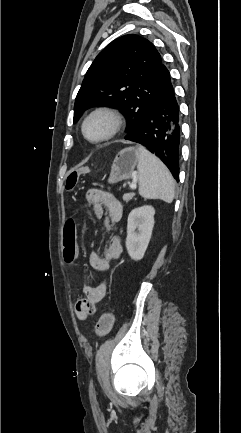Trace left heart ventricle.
Wrapping results in <instances>:
<instances>
[{
  "label": "left heart ventricle",
  "mask_w": 241,
  "mask_h": 433,
  "mask_svg": "<svg viewBox=\"0 0 241 433\" xmlns=\"http://www.w3.org/2000/svg\"><path fill=\"white\" fill-rule=\"evenodd\" d=\"M109 129V121L103 116L96 117L86 125V134L89 138L96 139L104 135Z\"/></svg>",
  "instance_id": "left-heart-ventricle-1"
}]
</instances>
